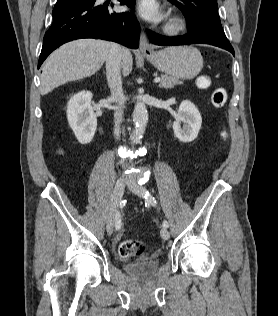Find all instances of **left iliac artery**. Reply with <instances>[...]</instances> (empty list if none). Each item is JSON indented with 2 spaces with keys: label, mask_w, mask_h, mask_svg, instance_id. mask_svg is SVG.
<instances>
[{
  "label": "left iliac artery",
  "mask_w": 278,
  "mask_h": 316,
  "mask_svg": "<svg viewBox=\"0 0 278 316\" xmlns=\"http://www.w3.org/2000/svg\"><path fill=\"white\" fill-rule=\"evenodd\" d=\"M145 200H146V204L151 205V206H156L157 205V201L156 199L147 191L145 194ZM169 223L164 220L163 221V227L168 228Z\"/></svg>",
  "instance_id": "left-iliac-artery-1"
}]
</instances>
